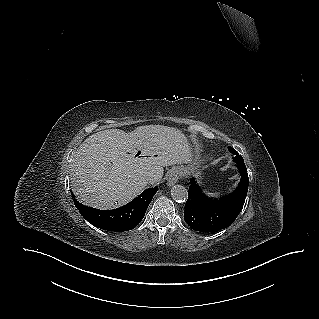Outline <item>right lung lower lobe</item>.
I'll use <instances>...</instances> for the list:
<instances>
[{"instance_id":"98d812e1","label":"right lung lower lobe","mask_w":319,"mask_h":319,"mask_svg":"<svg viewBox=\"0 0 319 319\" xmlns=\"http://www.w3.org/2000/svg\"><path fill=\"white\" fill-rule=\"evenodd\" d=\"M157 190V186L146 189L130 203L114 210L90 208L75 199L74 204L80 214L92 225L107 231L123 232L135 228L141 222Z\"/></svg>"}]
</instances>
